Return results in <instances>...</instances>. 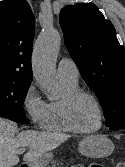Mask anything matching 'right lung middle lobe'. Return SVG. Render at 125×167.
Returning <instances> with one entry per match:
<instances>
[{
    "label": "right lung middle lobe",
    "instance_id": "dd1d6c3e",
    "mask_svg": "<svg viewBox=\"0 0 125 167\" xmlns=\"http://www.w3.org/2000/svg\"><path fill=\"white\" fill-rule=\"evenodd\" d=\"M30 84L0 81V107L25 115L23 103Z\"/></svg>",
    "mask_w": 125,
    "mask_h": 167
}]
</instances>
